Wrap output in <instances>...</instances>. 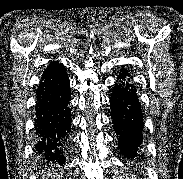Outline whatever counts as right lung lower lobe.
<instances>
[{
    "mask_svg": "<svg viewBox=\"0 0 183 179\" xmlns=\"http://www.w3.org/2000/svg\"><path fill=\"white\" fill-rule=\"evenodd\" d=\"M70 85L63 64L51 63L43 71L36 92L35 153L43 160L65 164L69 142L71 110Z\"/></svg>",
    "mask_w": 183,
    "mask_h": 179,
    "instance_id": "right-lung-lower-lobe-1",
    "label": "right lung lower lobe"
}]
</instances>
